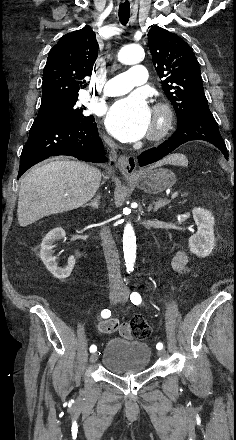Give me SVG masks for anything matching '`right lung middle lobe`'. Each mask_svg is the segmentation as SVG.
Wrapping results in <instances>:
<instances>
[{
  "mask_svg": "<svg viewBox=\"0 0 236 440\" xmlns=\"http://www.w3.org/2000/svg\"><path fill=\"white\" fill-rule=\"evenodd\" d=\"M76 102H77V98L69 101L40 106L37 117L38 116L60 117L76 122L93 121L94 117L92 115L86 116L83 114V111L86 108L77 107Z\"/></svg>",
  "mask_w": 236,
  "mask_h": 440,
  "instance_id": "1",
  "label": "right lung middle lobe"
}]
</instances>
